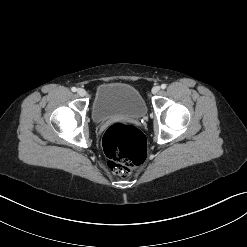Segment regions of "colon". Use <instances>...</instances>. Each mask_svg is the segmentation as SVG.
<instances>
[{
	"instance_id": "obj_1",
	"label": "colon",
	"mask_w": 247,
	"mask_h": 247,
	"mask_svg": "<svg viewBox=\"0 0 247 247\" xmlns=\"http://www.w3.org/2000/svg\"><path fill=\"white\" fill-rule=\"evenodd\" d=\"M103 148L109 169L122 177L127 176L145 159L144 135L136 127L115 123L103 135Z\"/></svg>"
}]
</instances>
